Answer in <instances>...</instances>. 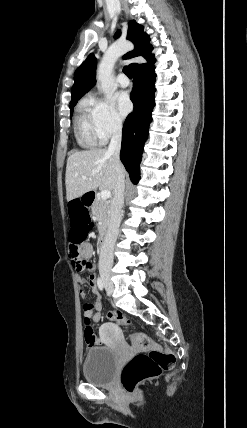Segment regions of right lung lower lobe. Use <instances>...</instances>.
I'll return each instance as SVG.
<instances>
[{"label":"right lung lower lobe","mask_w":247,"mask_h":428,"mask_svg":"<svg viewBox=\"0 0 247 428\" xmlns=\"http://www.w3.org/2000/svg\"><path fill=\"white\" fill-rule=\"evenodd\" d=\"M154 63L155 59L132 69L134 89L130 99L134 104V110L128 115L123 126L120 158L134 184L140 179L139 165L143 145L148 135L149 124L152 121L151 112L155 105Z\"/></svg>","instance_id":"right-lung-lower-lobe-1"}]
</instances>
